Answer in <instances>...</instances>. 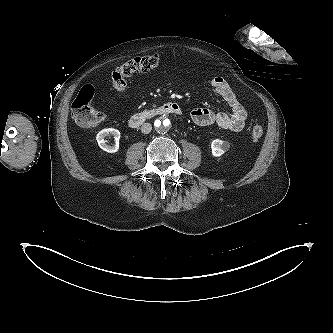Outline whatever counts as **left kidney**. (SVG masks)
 Listing matches in <instances>:
<instances>
[{
	"label": "left kidney",
	"mask_w": 333,
	"mask_h": 333,
	"mask_svg": "<svg viewBox=\"0 0 333 333\" xmlns=\"http://www.w3.org/2000/svg\"><path fill=\"white\" fill-rule=\"evenodd\" d=\"M229 147L230 144L227 141L215 139L211 143L212 155L215 157H220L229 149Z\"/></svg>",
	"instance_id": "left-kidney-1"
}]
</instances>
